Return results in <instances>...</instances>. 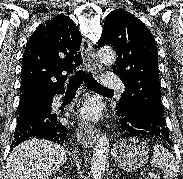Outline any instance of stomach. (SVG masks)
<instances>
[{"label":"stomach","instance_id":"obj_1","mask_svg":"<svg viewBox=\"0 0 183 179\" xmlns=\"http://www.w3.org/2000/svg\"><path fill=\"white\" fill-rule=\"evenodd\" d=\"M112 157L121 169L131 171L147 163L149 148L138 138L123 139L114 145Z\"/></svg>","mask_w":183,"mask_h":179}]
</instances>
